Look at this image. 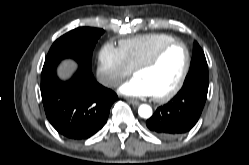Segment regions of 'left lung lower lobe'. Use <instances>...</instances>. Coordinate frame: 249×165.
<instances>
[{
  "instance_id": "obj_1",
  "label": "left lung lower lobe",
  "mask_w": 249,
  "mask_h": 165,
  "mask_svg": "<svg viewBox=\"0 0 249 165\" xmlns=\"http://www.w3.org/2000/svg\"><path fill=\"white\" fill-rule=\"evenodd\" d=\"M208 92V79L185 81L181 90L167 104L159 107L146 121L148 129L164 139H173L190 131L203 110Z\"/></svg>"
}]
</instances>
